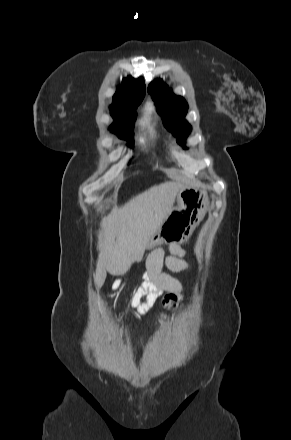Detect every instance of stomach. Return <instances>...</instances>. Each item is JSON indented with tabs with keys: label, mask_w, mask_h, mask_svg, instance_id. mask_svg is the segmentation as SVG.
I'll return each mask as SVG.
<instances>
[{
	"label": "stomach",
	"mask_w": 291,
	"mask_h": 440,
	"mask_svg": "<svg viewBox=\"0 0 291 440\" xmlns=\"http://www.w3.org/2000/svg\"><path fill=\"white\" fill-rule=\"evenodd\" d=\"M176 201L177 207L166 214L150 238L147 248L189 237L210 207L207 192L194 187L180 189Z\"/></svg>",
	"instance_id": "0dacf381"
}]
</instances>
